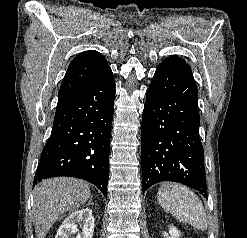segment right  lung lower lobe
Segmentation results:
<instances>
[{"label": "right lung lower lobe", "instance_id": "right-lung-lower-lobe-1", "mask_svg": "<svg viewBox=\"0 0 247 238\" xmlns=\"http://www.w3.org/2000/svg\"><path fill=\"white\" fill-rule=\"evenodd\" d=\"M114 97L115 82L109 67L78 93L57 104L34 185L51 177L71 176L91 182L107 197Z\"/></svg>", "mask_w": 247, "mask_h": 238}]
</instances>
